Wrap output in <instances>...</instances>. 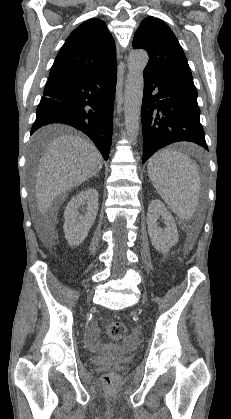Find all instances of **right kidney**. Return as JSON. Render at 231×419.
<instances>
[{
  "instance_id": "right-kidney-1",
  "label": "right kidney",
  "mask_w": 231,
  "mask_h": 419,
  "mask_svg": "<svg viewBox=\"0 0 231 419\" xmlns=\"http://www.w3.org/2000/svg\"><path fill=\"white\" fill-rule=\"evenodd\" d=\"M98 191L88 188L80 191L68 203L64 211V233L68 243L78 246L88 235L98 213ZM84 212V215L79 213Z\"/></svg>"
}]
</instances>
